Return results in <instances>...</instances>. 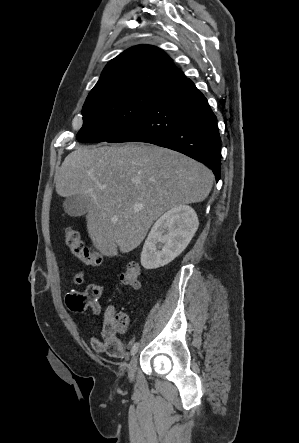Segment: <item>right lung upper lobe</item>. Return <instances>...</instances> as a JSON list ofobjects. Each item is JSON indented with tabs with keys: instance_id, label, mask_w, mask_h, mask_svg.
<instances>
[{
	"instance_id": "cb5924a9",
	"label": "right lung upper lobe",
	"mask_w": 299,
	"mask_h": 443,
	"mask_svg": "<svg viewBox=\"0 0 299 443\" xmlns=\"http://www.w3.org/2000/svg\"><path fill=\"white\" fill-rule=\"evenodd\" d=\"M185 78L164 51L151 45H138L125 50L106 65L88 97L119 88L166 90Z\"/></svg>"
}]
</instances>
